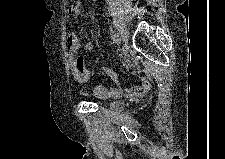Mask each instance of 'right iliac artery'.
<instances>
[{
	"instance_id": "82829eb1",
	"label": "right iliac artery",
	"mask_w": 225,
	"mask_h": 159,
	"mask_svg": "<svg viewBox=\"0 0 225 159\" xmlns=\"http://www.w3.org/2000/svg\"><path fill=\"white\" fill-rule=\"evenodd\" d=\"M111 39H112L113 43H115V44H119L120 43V38H119L118 34H112L111 35Z\"/></svg>"
}]
</instances>
